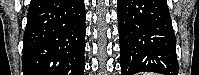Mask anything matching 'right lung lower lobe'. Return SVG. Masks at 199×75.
I'll return each instance as SVG.
<instances>
[{
	"mask_svg": "<svg viewBox=\"0 0 199 75\" xmlns=\"http://www.w3.org/2000/svg\"><path fill=\"white\" fill-rule=\"evenodd\" d=\"M84 0H31L23 75H84Z\"/></svg>",
	"mask_w": 199,
	"mask_h": 75,
	"instance_id": "1",
	"label": "right lung lower lobe"
}]
</instances>
